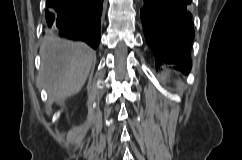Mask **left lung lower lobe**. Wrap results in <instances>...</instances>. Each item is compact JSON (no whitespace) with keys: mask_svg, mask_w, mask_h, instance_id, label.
Listing matches in <instances>:
<instances>
[{"mask_svg":"<svg viewBox=\"0 0 242 160\" xmlns=\"http://www.w3.org/2000/svg\"><path fill=\"white\" fill-rule=\"evenodd\" d=\"M144 35L156 55V66L179 65L188 73L194 39L192 0H144L140 12Z\"/></svg>","mask_w":242,"mask_h":160,"instance_id":"obj_1","label":"left lung lower lobe"}]
</instances>
